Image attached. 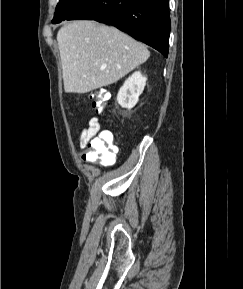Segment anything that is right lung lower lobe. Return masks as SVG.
Wrapping results in <instances>:
<instances>
[{"mask_svg":"<svg viewBox=\"0 0 243 289\" xmlns=\"http://www.w3.org/2000/svg\"><path fill=\"white\" fill-rule=\"evenodd\" d=\"M113 25L168 56L169 0H83L65 19Z\"/></svg>","mask_w":243,"mask_h":289,"instance_id":"right-lung-lower-lobe-1","label":"right lung lower lobe"}]
</instances>
